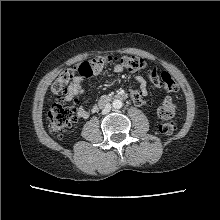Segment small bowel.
Here are the masks:
<instances>
[{"mask_svg": "<svg viewBox=\"0 0 220 220\" xmlns=\"http://www.w3.org/2000/svg\"><path fill=\"white\" fill-rule=\"evenodd\" d=\"M103 69L104 64L94 65L92 66V70L89 74L83 75L80 73L78 76L74 77L69 86L68 99L73 101L74 104H78L79 97L82 96L85 92V89L83 87L84 79L90 76L99 75L103 71ZM123 70L124 68L121 64H116L114 66V72L116 73H121L123 72ZM136 80L139 84V89H131L129 91V96L136 105H143L145 103L144 96H146L147 94V83L146 80L140 75L136 76ZM97 110V106H93L91 109L78 107L77 116L79 118L86 119L91 113H94Z\"/></svg>", "mask_w": 220, "mask_h": 220, "instance_id": "obj_1", "label": "small bowel"}]
</instances>
